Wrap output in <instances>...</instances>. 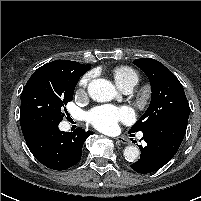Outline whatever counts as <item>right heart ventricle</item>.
<instances>
[{
    "label": "right heart ventricle",
    "instance_id": "e07e8e85",
    "mask_svg": "<svg viewBox=\"0 0 201 201\" xmlns=\"http://www.w3.org/2000/svg\"><path fill=\"white\" fill-rule=\"evenodd\" d=\"M112 77L120 89L135 86L138 83L137 72L129 66H118L112 70Z\"/></svg>",
    "mask_w": 201,
    "mask_h": 201
}]
</instances>
